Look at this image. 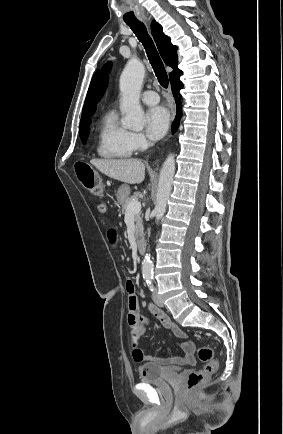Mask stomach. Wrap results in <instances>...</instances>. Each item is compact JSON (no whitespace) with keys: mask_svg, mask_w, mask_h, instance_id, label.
Instances as JSON below:
<instances>
[{"mask_svg":"<svg viewBox=\"0 0 283 434\" xmlns=\"http://www.w3.org/2000/svg\"><path fill=\"white\" fill-rule=\"evenodd\" d=\"M130 188L128 185H121L117 190V201L120 205L126 202L129 198Z\"/></svg>","mask_w":283,"mask_h":434,"instance_id":"1","label":"stomach"}]
</instances>
